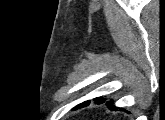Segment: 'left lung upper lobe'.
I'll return each instance as SVG.
<instances>
[{
    "mask_svg": "<svg viewBox=\"0 0 165 120\" xmlns=\"http://www.w3.org/2000/svg\"><path fill=\"white\" fill-rule=\"evenodd\" d=\"M94 100L103 101L102 98H95ZM89 102H90V101H86V102H84V103H82V104H80V105H78V106H82V105H84V104H86V103H89Z\"/></svg>",
    "mask_w": 165,
    "mask_h": 120,
    "instance_id": "obj_1",
    "label": "left lung upper lobe"
}]
</instances>
